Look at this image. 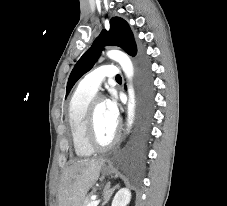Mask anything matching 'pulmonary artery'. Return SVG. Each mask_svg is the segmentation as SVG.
<instances>
[{
	"label": "pulmonary artery",
	"instance_id": "obj_1",
	"mask_svg": "<svg viewBox=\"0 0 227 206\" xmlns=\"http://www.w3.org/2000/svg\"><path fill=\"white\" fill-rule=\"evenodd\" d=\"M119 70L114 65H103L88 73L79 83V88L96 93L107 78H115Z\"/></svg>",
	"mask_w": 227,
	"mask_h": 206
}]
</instances>
